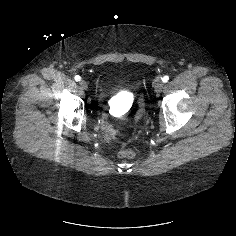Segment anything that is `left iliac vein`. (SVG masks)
I'll return each instance as SVG.
<instances>
[{
    "label": "left iliac vein",
    "mask_w": 236,
    "mask_h": 236,
    "mask_svg": "<svg viewBox=\"0 0 236 236\" xmlns=\"http://www.w3.org/2000/svg\"><path fill=\"white\" fill-rule=\"evenodd\" d=\"M154 89L156 93L162 92V90L164 89V83L161 80H158L154 84Z\"/></svg>",
    "instance_id": "4c4485c4"
}]
</instances>
